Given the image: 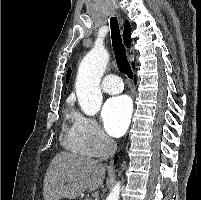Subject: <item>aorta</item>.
I'll return each instance as SVG.
<instances>
[{
	"label": "aorta",
	"mask_w": 201,
	"mask_h": 200,
	"mask_svg": "<svg viewBox=\"0 0 201 200\" xmlns=\"http://www.w3.org/2000/svg\"><path fill=\"white\" fill-rule=\"evenodd\" d=\"M108 62V52L96 43L80 63L75 89L79 105L86 115L93 116L101 108L100 81ZM120 189V182H117L106 200H119Z\"/></svg>",
	"instance_id": "1"
}]
</instances>
